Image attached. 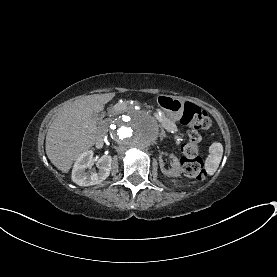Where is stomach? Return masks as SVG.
Returning <instances> with one entry per match:
<instances>
[{
    "label": "stomach",
    "instance_id": "1",
    "mask_svg": "<svg viewBox=\"0 0 277 277\" xmlns=\"http://www.w3.org/2000/svg\"><path fill=\"white\" fill-rule=\"evenodd\" d=\"M157 103L165 112L168 119L177 121L184 111V102L175 96L160 95L157 98Z\"/></svg>",
    "mask_w": 277,
    "mask_h": 277
}]
</instances>
